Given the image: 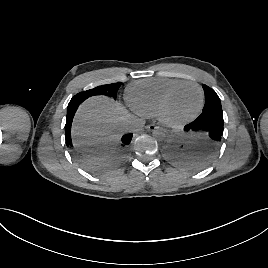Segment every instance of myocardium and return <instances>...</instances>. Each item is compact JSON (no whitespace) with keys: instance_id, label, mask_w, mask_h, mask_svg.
Here are the masks:
<instances>
[{"instance_id":"1","label":"myocardium","mask_w":268,"mask_h":268,"mask_svg":"<svg viewBox=\"0 0 268 268\" xmlns=\"http://www.w3.org/2000/svg\"><path fill=\"white\" fill-rule=\"evenodd\" d=\"M186 86H194L198 89L199 94H200L199 104L197 108L195 109V111L189 116L181 118V119H171L166 114L168 104L170 100L172 99V97L175 95V93L179 91L181 88L186 87ZM203 104H204V91L202 87L196 82L185 81L183 83H180L174 86L166 93V95L163 97L159 105L157 116H158L159 121L162 122L163 124L172 128H180L186 125L187 123L191 122L198 116V114L200 113L203 107Z\"/></svg>"}]
</instances>
